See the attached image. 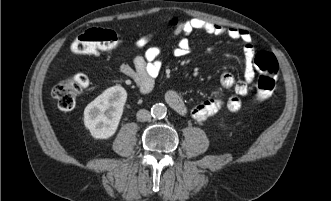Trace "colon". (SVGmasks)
Returning <instances> with one entry per match:
<instances>
[{
  "label": "colon",
  "instance_id": "colon-1",
  "mask_svg": "<svg viewBox=\"0 0 331 201\" xmlns=\"http://www.w3.org/2000/svg\"><path fill=\"white\" fill-rule=\"evenodd\" d=\"M123 41L121 35L111 29L90 28L80 34L72 43L76 54L90 55L100 51H110ZM254 63L260 75L256 84V100L268 99L275 88L278 64L275 56L268 51H260L254 57ZM88 85V78L83 73L65 77L52 88V96L59 108L68 111L74 108L78 96Z\"/></svg>",
  "mask_w": 331,
  "mask_h": 201
}]
</instances>
